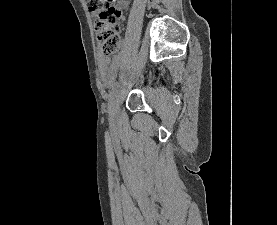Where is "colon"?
I'll use <instances>...</instances> for the list:
<instances>
[{
  "mask_svg": "<svg viewBox=\"0 0 277 225\" xmlns=\"http://www.w3.org/2000/svg\"><path fill=\"white\" fill-rule=\"evenodd\" d=\"M116 0H86L87 7L99 13L95 23L96 38L105 55L117 53L121 48V11L114 4Z\"/></svg>",
  "mask_w": 277,
  "mask_h": 225,
  "instance_id": "1",
  "label": "colon"
}]
</instances>
